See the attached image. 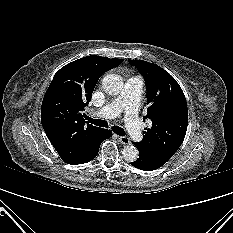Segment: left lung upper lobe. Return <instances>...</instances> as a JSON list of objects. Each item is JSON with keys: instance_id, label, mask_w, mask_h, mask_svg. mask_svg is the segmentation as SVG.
Segmentation results:
<instances>
[{"instance_id": "left-lung-upper-lobe-1", "label": "left lung upper lobe", "mask_w": 233, "mask_h": 233, "mask_svg": "<svg viewBox=\"0 0 233 233\" xmlns=\"http://www.w3.org/2000/svg\"><path fill=\"white\" fill-rule=\"evenodd\" d=\"M144 77L147 89V114L152 126L143 140L135 143L146 154L167 162L181 146L188 125L184 93L177 81L160 66L143 60H128Z\"/></svg>"}]
</instances>
